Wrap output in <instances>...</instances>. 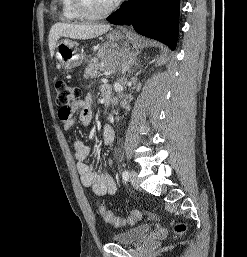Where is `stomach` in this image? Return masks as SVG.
<instances>
[{
  "mask_svg": "<svg viewBox=\"0 0 247 257\" xmlns=\"http://www.w3.org/2000/svg\"><path fill=\"white\" fill-rule=\"evenodd\" d=\"M130 36L124 31L113 30L107 34V42L99 50L102 60L113 62L114 66L128 69L136 59L135 51L129 47ZM56 58L65 69H72L84 60L78 53V44L69 39H62L56 45Z\"/></svg>",
  "mask_w": 247,
  "mask_h": 257,
  "instance_id": "1",
  "label": "stomach"
}]
</instances>
